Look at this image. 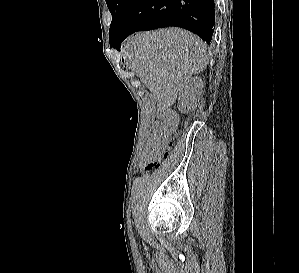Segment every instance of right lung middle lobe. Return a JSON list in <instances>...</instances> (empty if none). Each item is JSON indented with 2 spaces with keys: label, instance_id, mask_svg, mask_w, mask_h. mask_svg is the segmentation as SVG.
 Returning <instances> with one entry per match:
<instances>
[{
  "label": "right lung middle lobe",
  "instance_id": "right-lung-middle-lobe-1",
  "mask_svg": "<svg viewBox=\"0 0 299 273\" xmlns=\"http://www.w3.org/2000/svg\"><path fill=\"white\" fill-rule=\"evenodd\" d=\"M134 0H106L108 8L112 14L110 25V43L116 37L124 19Z\"/></svg>",
  "mask_w": 299,
  "mask_h": 273
}]
</instances>
